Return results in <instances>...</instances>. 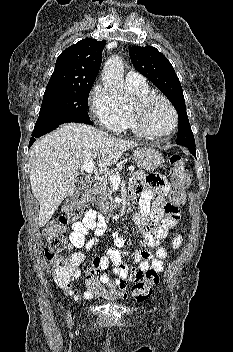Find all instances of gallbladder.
Returning a JSON list of instances; mask_svg holds the SVG:
<instances>
[{
    "instance_id": "bac80fb5",
    "label": "gallbladder",
    "mask_w": 233,
    "mask_h": 352,
    "mask_svg": "<svg viewBox=\"0 0 233 352\" xmlns=\"http://www.w3.org/2000/svg\"><path fill=\"white\" fill-rule=\"evenodd\" d=\"M89 186V183H86L84 180L77 181V190L75 191L73 196H78L84 187Z\"/></svg>"
}]
</instances>
